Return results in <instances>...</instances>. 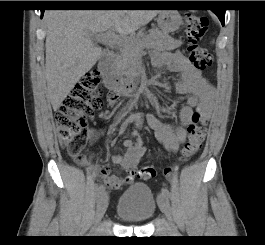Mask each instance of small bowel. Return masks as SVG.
I'll return each mask as SVG.
<instances>
[{
  "instance_id": "c3829d8e",
  "label": "small bowel",
  "mask_w": 265,
  "mask_h": 245,
  "mask_svg": "<svg viewBox=\"0 0 265 245\" xmlns=\"http://www.w3.org/2000/svg\"><path fill=\"white\" fill-rule=\"evenodd\" d=\"M152 65L155 68L164 67L167 71L179 74L180 78L175 81L173 87L176 93L186 96L180 110L179 124L176 127H171L155 113H149L146 117L158 140L167 150L175 152L186 141L188 129L192 124L194 110L209 104L214 95V87L202 76L201 71L195 68L178 51L168 52L163 55L153 54ZM109 101L112 105H116L119 102V98L112 95ZM133 104V100H129L125 109L127 111L131 110ZM154 105L158 106L156 102H154ZM121 117L122 115H119V118ZM138 119V115H131L130 120L128 122H125V120V123L121 125L119 134H123L128 124ZM134 133V141L126 139L123 143L126 148L125 155L112 156V163L119 164L125 169L126 174L124 176L119 177L111 174L108 168L94 164L91 157L86 161L87 172L91 176L103 180L112 190H118L124 185L131 184L135 179V170L145 153V148L137 135V127L134 128ZM97 135L96 131H92L90 134L91 141L96 139Z\"/></svg>"
}]
</instances>
